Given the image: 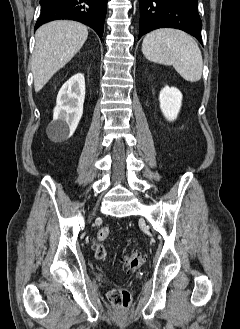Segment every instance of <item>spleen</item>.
<instances>
[{
  "mask_svg": "<svg viewBox=\"0 0 240 329\" xmlns=\"http://www.w3.org/2000/svg\"><path fill=\"white\" fill-rule=\"evenodd\" d=\"M142 52L152 62L172 65L186 81L197 82L202 77L201 51L183 31L171 28L151 31L143 39Z\"/></svg>",
  "mask_w": 240,
  "mask_h": 329,
  "instance_id": "obj_1",
  "label": "spleen"
}]
</instances>
